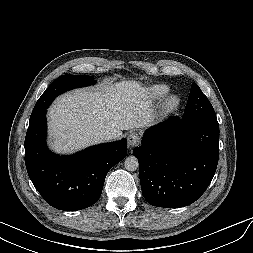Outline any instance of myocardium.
<instances>
[{"mask_svg":"<svg viewBox=\"0 0 253 253\" xmlns=\"http://www.w3.org/2000/svg\"><path fill=\"white\" fill-rule=\"evenodd\" d=\"M180 105V98L177 95L168 96L162 104V111L171 113L175 111Z\"/></svg>","mask_w":253,"mask_h":253,"instance_id":"f54148a6","label":"myocardium"}]
</instances>
